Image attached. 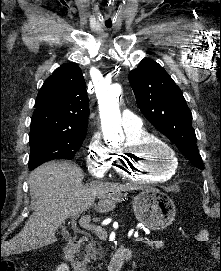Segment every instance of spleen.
I'll return each mask as SVG.
<instances>
[{"mask_svg": "<svg viewBox=\"0 0 221 271\" xmlns=\"http://www.w3.org/2000/svg\"><path fill=\"white\" fill-rule=\"evenodd\" d=\"M207 235H208L207 231H201V233H199V235H198L199 241H204V239H206Z\"/></svg>", "mask_w": 221, "mask_h": 271, "instance_id": "obj_1", "label": "spleen"}]
</instances>
